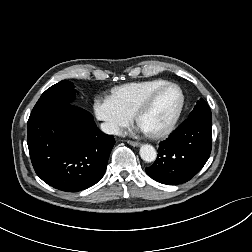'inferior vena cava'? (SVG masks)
<instances>
[{
  "label": "inferior vena cava",
  "instance_id": "1",
  "mask_svg": "<svg viewBox=\"0 0 252 252\" xmlns=\"http://www.w3.org/2000/svg\"><path fill=\"white\" fill-rule=\"evenodd\" d=\"M101 130L104 133L111 134V135H121L122 134L118 125L113 124V123H108V122L101 124Z\"/></svg>",
  "mask_w": 252,
  "mask_h": 252
}]
</instances>
